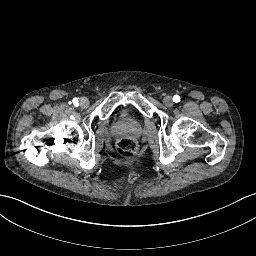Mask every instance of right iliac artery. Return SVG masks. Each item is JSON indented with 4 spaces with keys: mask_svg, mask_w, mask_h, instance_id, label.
<instances>
[{
    "mask_svg": "<svg viewBox=\"0 0 256 256\" xmlns=\"http://www.w3.org/2000/svg\"><path fill=\"white\" fill-rule=\"evenodd\" d=\"M72 101H73L74 104H78V99L77 98H74Z\"/></svg>",
    "mask_w": 256,
    "mask_h": 256,
    "instance_id": "1",
    "label": "right iliac artery"
}]
</instances>
